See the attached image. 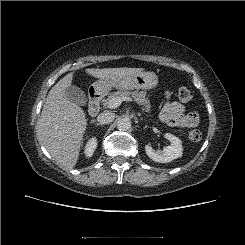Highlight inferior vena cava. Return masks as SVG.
<instances>
[{
  "instance_id": "1",
  "label": "inferior vena cava",
  "mask_w": 245,
  "mask_h": 245,
  "mask_svg": "<svg viewBox=\"0 0 245 245\" xmlns=\"http://www.w3.org/2000/svg\"><path fill=\"white\" fill-rule=\"evenodd\" d=\"M115 114L112 112H102L97 116V121L100 124H110L113 122Z\"/></svg>"
}]
</instances>
